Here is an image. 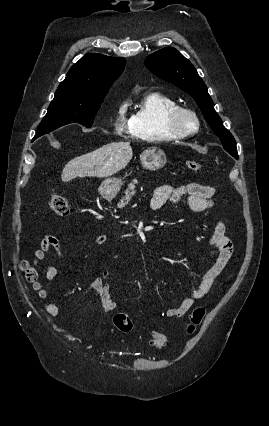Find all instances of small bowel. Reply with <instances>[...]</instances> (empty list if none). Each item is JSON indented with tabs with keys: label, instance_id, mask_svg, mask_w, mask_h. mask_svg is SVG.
Returning a JSON list of instances; mask_svg holds the SVG:
<instances>
[{
	"label": "small bowel",
	"instance_id": "c3829d8e",
	"mask_svg": "<svg viewBox=\"0 0 269 426\" xmlns=\"http://www.w3.org/2000/svg\"><path fill=\"white\" fill-rule=\"evenodd\" d=\"M215 189L210 186H205L199 183L190 182L188 184L174 187L171 185H162L155 189L151 199V208L160 209L168 201L176 202L183 196L187 197V204L192 211L204 212L210 210L214 205ZM108 241L105 234H100L95 238V243L98 245ZM209 245L215 247L217 255L214 257L209 269L200 278L197 287L192 293L185 297L177 306L167 309L163 313L164 318H179L184 316L193 306L195 301L203 298L208 294L213 284L221 276L223 270L228 264L233 254V245L230 239L225 235V226L222 222L215 224L213 233L209 239ZM50 251H55L62 259L61 246L57 237L53 235L45 236L39 248L34 253V264H39L46 259ZM110 272L105 270L101 276L96 277L92 281V288L99 296L104 310L110 312L118 307V303L112 299L110 285L108 282ZM57 276V270L53 266L46 269V278L48 281H54ZM32 289L37 296L44 301L45 311L53 316L59 314L58 306L50 301L47 290L38 280L32 282Z\"/></svg>",
	"mask_w": 269,
	"mask_h": 426
}]
</instances>
